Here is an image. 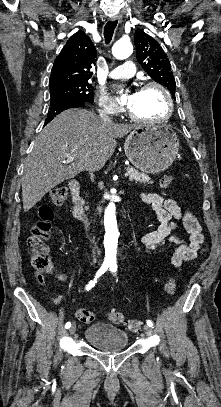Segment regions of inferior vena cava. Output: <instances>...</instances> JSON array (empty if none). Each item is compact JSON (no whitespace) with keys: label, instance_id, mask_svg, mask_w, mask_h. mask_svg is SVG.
Masks as SVG:
<instances>
[{"label":"inferior vena cava","instance_id":"inferior-vena-cava-1","mask_svg":"<svg viewBox=\"0 0 221 407\" xmlns=\"http://www.w3.org/2000/svg\"><path fill=\"white\" fill-rule=\"evenodd\" d=\"M99 117H100L101 121L105 124L112 123V120L109 117L108 112L105 109L99 110Z\"/></svg>","mask_w":221,"mask_h":407}]
</instances>
